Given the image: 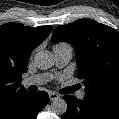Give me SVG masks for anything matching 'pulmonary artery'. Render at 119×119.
Here are the masks:
<instances>
[{"label":"pulmonary artery","instance_id":"pulmonary-artery-1","mask_svg":"<svg viewBox=\"0 0 119 119\" xmlns=\"http://www.w3.org/2000/svg\"><path fill=\"white\" fill-rule=\"evenodd\" d=\"M73 50L69 45L62 46L59 48H54V56L56 65L59 67L65 66L72 58ZM50 79L48 74H39L23 80L22 84L24 86L32 85H42ZM85 96V91H80L78 93V98L83 99Z\"/></svg>","mask_w":119,"mask_h":119}]
</instances>
